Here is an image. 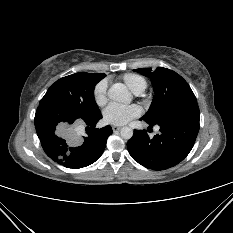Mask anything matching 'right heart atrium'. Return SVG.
Segmentation results:
<instances>
[{"instance_id":"obj_1","label":"right heart atrium","mask_w":233,"mask_h":233,"mask_svg":"<svg viewBox=\"0 0 233 233\" xmlns=\"http://www.w3.org/2000/svg\"><path fill=\"white\" fill-rule=\"evenodd\" d=\"M93 98L98 106H103L106 103V84L104 82H99L95 86L93 91Z\"/></svg>"}]
</instances>
